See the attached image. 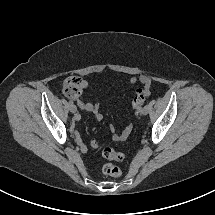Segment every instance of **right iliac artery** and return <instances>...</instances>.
Segmentation results:
<instances>
[{"label": "right iliac artery", "mask_w": 215, "mask_h": 215, "mask_svg": "<svg viewBox=\"0 0 215 215\" xmlns=\"http://www.w3.org/2000/svg\"><path fill=\"white\" fill-rule=\"evenodd\" d=\"M68 104H69V105L73 104V101L70 100V101L68 102Z\"/></svg>", "instance_id": "obj_1"}]
</instances>
